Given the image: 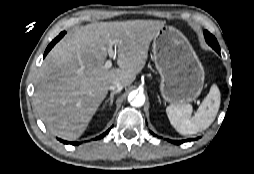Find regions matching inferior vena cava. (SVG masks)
Segmentation results:
<instances>
[{
    "label": "inferior vena cava",
    "instance_id": "1",
    "mask_svg": "<svg viewBox=\"0 0 254 174\" xmlns=\"http://www.w3.org/2000/svg\"><path fill=\"white\" fill-rule=\"evenodd\" d=\"M123 89L122 83L115 81L109 86V90L112 92H120Z\"/></svg>",
    "mask_w": 254,
    "mask_h": 174
}]
</instances>
